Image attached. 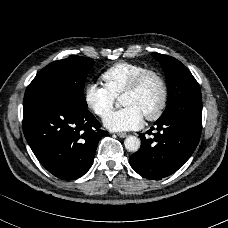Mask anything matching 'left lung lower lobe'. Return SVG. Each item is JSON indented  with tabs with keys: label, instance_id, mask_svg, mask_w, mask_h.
I'll list each match as a JSON object with an SVG mask.
<instances>
[{
	"label": "left lung lower lobe",
	"instance_id": "1",
	"mask_svg": "<svg viewBox=\"0 0 228 228\" xmlns=\"http://www.w3.org/2000/svg\"><path fill=\"white\" fill-rule=\"evenodd\" d=\"M202 110L177 109L160 117L154 139L140 134L141 147L130 158L131 167L147 179H160L176 172L192 155L201 134ZM154 130L151 127L147 133ZM160 132V133H159Z\"/></svg>",
	"mask_w": 228,
	"mask_h": 228
}]
</instances>
